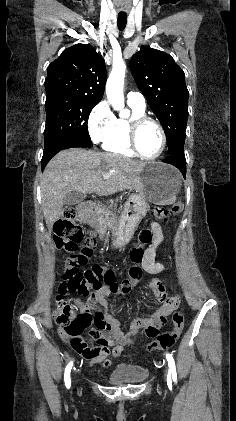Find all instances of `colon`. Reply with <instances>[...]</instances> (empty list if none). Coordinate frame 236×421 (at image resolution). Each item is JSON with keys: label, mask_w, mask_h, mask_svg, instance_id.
I'll return each mask as SVG.
<instances>
[{"label": "colon", "mask_w": 236, "mask_h": 421, "mask_svg": "<svg viewBox=\"0 0 236 421\" xmlns=\"http://www.w3.org/2000/svg\"><path fill=\"white\" fill-rule=\"evenodd\" d=\"M181 203H175L170 208H156L153 217L160 220L168 218L181 212ZM152 239L149 230H143L139 234L138 243L130 250L129 257L133 265L129 268L128 278L121 282L115 280L112 269L107 266L95 264L91 268L81 271L80 267L85 265L92 255L95 239L93 234L87 237L83 229L77 224V214L73 208L64 209L61 218L54 226V242L58 249H64L70 256L66 260L65 269L62 273V281L58 288L56 307L54 310L55 323L66 334L69 344L83 357H92L109 352L106 340L97 348H91L82 338V333L90 325L91 307L82 305L79 307L67 302L64 297L67 294L77 293L82 296H91L93 292L107 289L112 295H128L133 286L142 278L143 270L139 262L144 256L143 246ZM81 243L84 245L81 246ZM157 248V247H156ZM156 248L154 249V255ZM155 267V265H153ZM159 290H161L159 288ZM162 291V290H161ZM176 305L177 300L173 301ZM163 319L156 324L162 323ZM172 329L159 334L155 340L147 345L149 351L166 350L172 347L180 337L184 327V314L177 310L172 315ZM154 333L156 327H149Z\"/></svg>", "instance_id": "colon-1"}]
</instances>
